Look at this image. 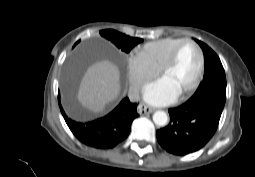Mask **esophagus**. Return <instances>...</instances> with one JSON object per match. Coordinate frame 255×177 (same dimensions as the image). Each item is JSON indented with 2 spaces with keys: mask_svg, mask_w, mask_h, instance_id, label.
Listing matches in <instances>:
<instances>
[{
  "mask_svg": "<svg viewBox=\"0 0 255 177\" xmlns=\"http://www.w3.org/2000/svg\"><path fill=\"white\" fill-rule=\"evenodd\" d=\"M155 110V108L149 107L143 103L139 104L137 107V112L143 116L149 113H152Z\"/></svg>",
  "mask_w": 255,
  "mask_h": 177,
  "instance_id": "obj_1",
  "label": "esophagus"
}]
</instances>
